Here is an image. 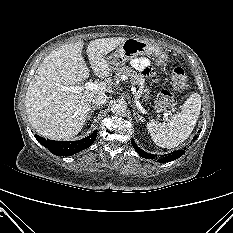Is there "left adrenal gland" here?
Segmentation results:
<instances>
[{
	"mask_svg": "<svg viewBox=\"0 0 233 233\" xmlns=\"http://www.w3.org/2000/svg\"><path fill=\"white\" fill-rule=\"evenodd\" d=\"M133 108H134L133 112H134L135 118H136V119L138 118L139 120L143 121L142 117H141L140 115H138V113H137L135 107H133Z\"/></svg>",
	"mask_w": 233,
	"mask_h": 233,
	"instance_id": "obj_1",
	"label": "left adrenal gland"
}]
</instances>
